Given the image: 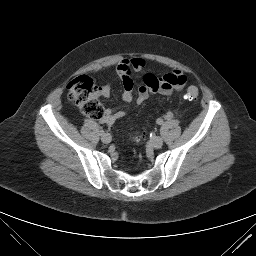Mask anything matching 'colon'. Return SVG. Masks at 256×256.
Listing matches in <instances>:
<instances>
[{
    "label": "colon",
    "instance_id": "obj_1",
    "mask_svg": "<svg viewBox=\"0 0 256 256\" xmlns=\"http://www.w3.org/2000/svg\"><path fill=\"white\" fill-rule=\"evenodd\" d=\"M99 90L95 81L84 75L72 79L67 85L69 100L73 101L85 116L93 119H102L105 115L104 108L98 100ZM198 94V88L190 86L187 88L186 98L196 99ZM139 139L135 137V140Z\"/></svg>",
    "mask_w": 256,
    "mask_h": 256
}]
</instances>
